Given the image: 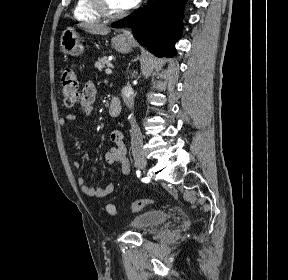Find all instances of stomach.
I'll return each mask as SVG.
<instances>
[{"label":"stomach","mask_w":288,"mask_h":280,"mask_svg":"<svg viewBox=\"0 0 288 280\" xmlns=\"http://www.w3.org/2000/svg\"><path fill=\"white\" fill-rule=\"evenodd\" d=\"M112 46L121 53L132 51V43L122 35H117L112 39ZM60 46L65 54L79 56L84 51V46L73 28H67L61 36Z\"/></svg>","instance_id":"obj_1"}]
</instances>
